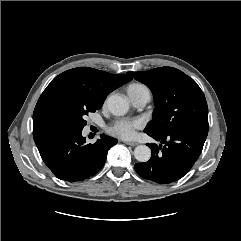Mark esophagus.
<instances>
[{
  "mask_svg": "<svg viewBox=\"0 0 241 241\" xmlns=\"http://www.w3.org/2000/svg\"><path fill=\"white\" fill-rule=\"evenodd\" d=\"M125 144L130 145V146H136V145H138V143L135 142V141H125Z\"/></svg>",
  "mask_w": 241,
  "mask_h": 241,
  "instance_id": "esophagus-1",
  "label": "esophagus"
}]
</instances>
